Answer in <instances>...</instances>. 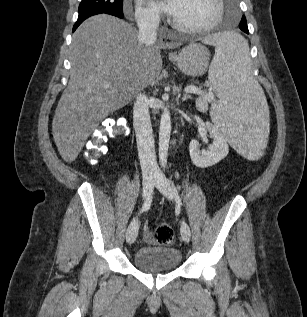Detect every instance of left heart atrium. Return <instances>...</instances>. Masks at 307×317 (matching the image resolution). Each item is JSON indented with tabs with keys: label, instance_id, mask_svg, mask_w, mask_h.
Returning <instances> with one entry per match:
<instances>
[{
	"label": "left heart atrium",
	"instance_id": "39dd6f15",
	"mask_svg": "<svg viewBox=\"0 0 307 317\" xmlns=\"http://www.w3.org/2000/svg\"><path fill=\"white\" fill-rule=\"evenodd\" d=\"M181 0H153L152 5L163 12L174 15L180 5Z\"/></svg>",
	"mask_w": 307,
	"mask_h": 317
}]
</instances>
